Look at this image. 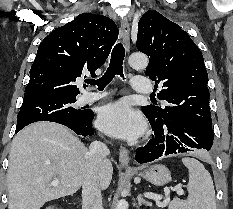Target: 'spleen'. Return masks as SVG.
<instances>
[{"mask_svg": "<svg viewBox=\"0 0 233 209\" xmlns=\"http://www.w3.org/2000/svg\"><path fill=\"white\" fill-rule=\"evenodd\" d=\"M182 162L189 171V195L187 200L173 199L169 209H216L215 190L210 173L194 158H183Z\"/></svg>", "mask_w": 233, "mask_h": 209, "instance_id": "obj_1", "label": "spleen"}]
</instances>
